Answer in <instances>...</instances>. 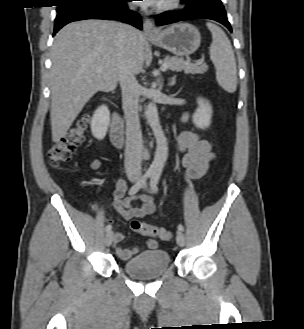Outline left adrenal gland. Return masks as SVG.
Here are the masks:
<instances>
[{
  "label": "left adrenal gland",
  "mask_w": 304,
  "mask_h": 329,
  "mask_svg": "<svg viewBox=\"0 0 304 329\" xmlns=\"http://www.w3.org/2000/svg\"><path fill=\"white\" fill-rule=\"evenodd\" d=\"M175 79H176V77L174 76V77H172L171 79H170V82H169V86H172V85H174L175 84Z\"/></svg>",
  "instance_id": "1"
}]
</instances>
